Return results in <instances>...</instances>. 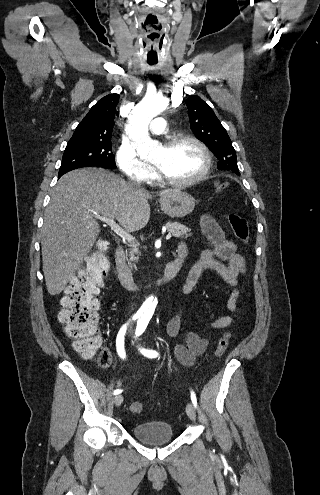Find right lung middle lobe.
Wrapping results in <instances>:
<instances>
[{
	"label": "right lung middle lobe",
	"instance_id": "1",
	"mask_svg": "<svg viewBox=\"0 0 320 495\" xmlns=\"http://www.w3.org/2000/svg\"><path fill=\"white\" fill-rule=\"evenodd\" d=\"M111 142H73L68 143L63 154L58 176L68 171L97 166L116 168Z\"/></svg>",
	"mask_w": 320,
	"mask_h": 495
}]
</instances>
